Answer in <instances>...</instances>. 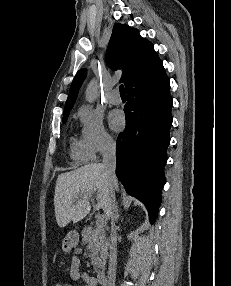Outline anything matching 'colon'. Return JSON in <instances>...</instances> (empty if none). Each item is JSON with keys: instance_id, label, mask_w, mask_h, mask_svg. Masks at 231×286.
Segmentation results:
<instances>
[{"instance_id": "5ec220e1", "label": "colon", "mask_w": 231, "mask_h": 286, "mask_svg": "<svg viewBox=\"0 0 231 286\" xmlns=\"http://www.w3.org/2000/svg\"><path fill=\"white\" fill-rule=\"evenodd\" d=\"M55 286H72V285L68 282H60V283H57Z\"/></svg>"}]
</instances>
